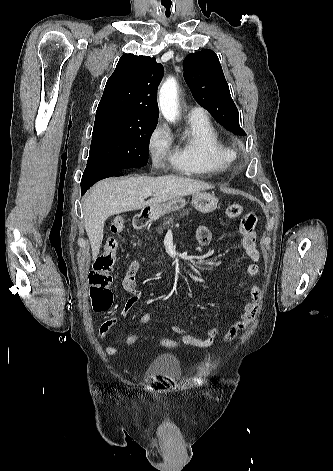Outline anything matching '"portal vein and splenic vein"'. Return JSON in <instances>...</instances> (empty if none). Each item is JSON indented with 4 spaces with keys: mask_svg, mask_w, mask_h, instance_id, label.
Returning <instances> with one entry per match:
<instances>
[{
    "mask_svg": "<svg viewBox=\"0 0 333 471\" xmlns=\"http://www.w3.org/2000/svg\"><path fill=\"white\" fill-rule=\"evenodd\" d=\"M151 195H152V193H148V194H147V196H151Z\"/></svg>",
    "mask_w": 333,
    "mask_h": 471,
    "instance_id": "obj_1",
    "label": "portal vein and splenic vein"
}]
</instances>
